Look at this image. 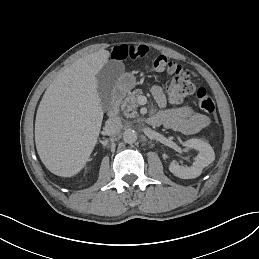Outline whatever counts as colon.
Wrapping results in <instances>:
<instances>
[{
    "instance_id": "1",
    "label": "colon",
    "mask_w": 259,
    "mask_h": 259,
    "mask_svg": "<svg viewBox=\"0 0 259 259\" xmlns=\"http://www.w3.org/2000/svg\"><path fill=\"white\" fill-rule=\"evenodd\" d=\"M150 69L158 73H167L172 76L168 91L172 101L179 102L186 96L195 93L199 107L207 113L215 110L214 100L204 87L196 88L189 73L180 65L168 60L164 56L155 58L150 64Z\"/></svg>"
}]
</instances>
